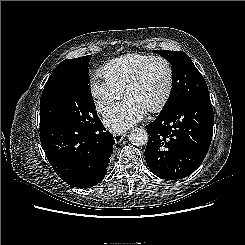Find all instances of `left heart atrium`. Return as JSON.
<instances>
[{"label": "left heart atrium", "mask_w": 245, "mask_h": 245, "mask_svg": "<svg viewBox=\"0 0 245 245\" xmlns=\"http://www.w3.org/2000/svg\"><path fill=\"white\" fill-rule=\"evenodd\" d=\"M147 113V109L131 97L112 106L104 115L106 126L113 131H124L139 122Z\"/></svg>", "instance_id": "left-heart-atrium-1"}]
</instances>
